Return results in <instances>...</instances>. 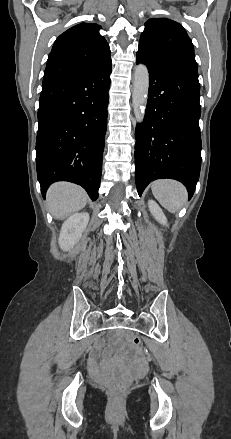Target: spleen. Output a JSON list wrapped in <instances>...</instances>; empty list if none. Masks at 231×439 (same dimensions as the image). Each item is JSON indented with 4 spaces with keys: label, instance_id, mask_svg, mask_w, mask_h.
I'll return each instance as SVG.
<instances>
[{
    "label": "spleen",
    "instance_id": "3e777b00",
    "mask_svg": "<svg viewBox=\"0 0 231 439\" xmlns=\"http://www.w3.org/2000/svg\"><path fill=\"white\" fill-rule=\"evenodd\" d=\"M151 188L154 197L171 213L178 212L188 197L185 186L171 179L157 180Z\"/></svg>",
    "mask_w": 231,
    "mask_h": 439
}]
</instances>
